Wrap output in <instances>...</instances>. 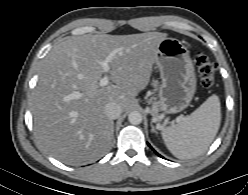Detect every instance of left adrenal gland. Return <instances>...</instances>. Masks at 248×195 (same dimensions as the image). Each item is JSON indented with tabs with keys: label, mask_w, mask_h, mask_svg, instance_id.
<instances>
[{
	"label": "left adrenal gland",
	"mask_w": 248,
	"mask_h": 195,
	"mask_svg": "<svg viewBox=\"0 0 248 195\" xmlns=\"http://www.w3.org/2000/svg\"><path fill=\"white\" fill-rule=\"evenodd\" d=\"M151 131L157 133V131L155 130V128H154V126L152 124V122H151Z\"/></svg>",
	"instance_id": "a2214340"
}]
</instances>
